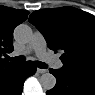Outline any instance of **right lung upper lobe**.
Segmentation results:
<instances>
[{"label": "right lung upper lobe", "instance_id": "obj_1", "mask_svg": "<svg viewBox=\"0 0 95 95\" xmlns=\"http://www.w3.org/2000/svg\"><path fill=\"white\" fill-rule=\"evenodd\" d=\"M28 11L0 6V56L13 51L14 28L27 19ZM18 63L0 57V81L13 72Z\"/></svg>", "mask_w": 95, "mask_h": 95}]
</instances>
